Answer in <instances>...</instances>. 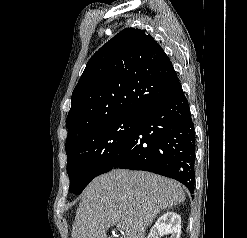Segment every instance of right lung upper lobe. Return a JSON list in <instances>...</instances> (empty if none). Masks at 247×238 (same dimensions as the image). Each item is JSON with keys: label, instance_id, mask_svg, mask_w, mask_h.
Returning a JSON list of instances; mask_svg holds the SVG:
<instances>
[{"label": "right lung upper lobe", "instance_id": "right-lung-upper-lobe-1", "mask_svg": "<svg viewBox=\"0 0 247 238\" xmlns=\"http://www.w3.org/2000/svg\"><path fill=\"white\" fill-rule=\"evenodd\" d=\"M179 79L161 46L143 30L128 28L88 61L66 119V145L85 131L144 109L168 96Z\"/></svg>", "mask_w": 247, "mask_h": 238}]
</instances>
